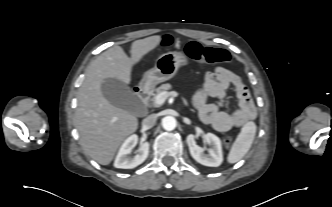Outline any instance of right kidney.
<instances>
[{
	"instance_id": "obj_1",
	"label": "right kidney",
	"mask_w": 332,
	"mask_h": 207,
	"mask_svg": "<svg viewBox=\"0 0 332 207\" xmlns=\"http://www.w3.org/2000/svg\"><path fill=\"white\" fill-rule=\"evenodd\" d=\"M138 142V136L133 134L128 137L119 149L114 161V167L122 169H132L142 164L149 154V143L144 142L140 145L138 153L134 157H128L132 149Z\"/></svg>"
}]
</instances>
